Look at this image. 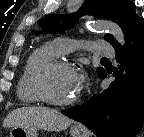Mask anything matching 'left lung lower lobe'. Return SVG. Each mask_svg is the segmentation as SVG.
Returning <instances> with one entry per match:
<instances>
[{
    "instance_id": "0a47b994",
    "label": "left lung lower lobe",
    "mask_w": 144,
    "mask_h": 137,
    "mask_svg": "<svg viewBox=\"0 0 144 137\" xmlns=\"http://www.w3.org/2000/svg\"><path fill=\"white\" fill-rule=\"evenodd\" d=\"M118 69L110 86L84 104L62 113L91 129L99 137H132L144 118V23L117 46ZM106 71L101 78L106 77Z\"/></svg>"
}]
</instances>
